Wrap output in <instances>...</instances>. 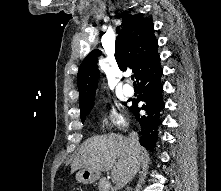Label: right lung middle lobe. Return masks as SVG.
Masks as SVG:
<instances>
[{
	"label": "right lung middle lobe",
	"mask_w": 221,
	"mask_h": 191,
	"mask_svg": "<svg viewBox=\"0 0 221 191\" xmlns=\"http://www.w3.org/2000/svg\"><path fill=\"white\" fill-rule=\"evenodd\" d=\"M91 110L85 112V113H81L80 117H81V121L82 123L85 121L86 115H88L90 113Z\"/></svg>",
	"instance_id": "1"
}]
</instances>
